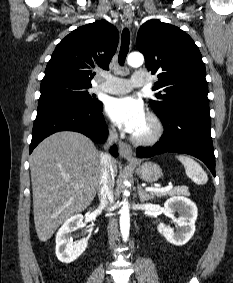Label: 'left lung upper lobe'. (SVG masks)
Segmentation results:
<instances>
[{
	"mask_svg": "<svg viewBox=\"0 0 233 283\" xmlns=\"http://www.w3.org/2000/svg\"><path fill=\"white\" fill-rule=\"evenodd\" d=\"M137 48L144 54L146 67L158 73L149 101L159 116L191 104L209 106L206 70L201 53L192 38L180 28L159 20H148L138 30Z\"/></svg>",
	"mask_w": 233,
	"mask_h": 283,
	"instance_id": "5c2ea615",
	"label": "left lung upper lobe"
}]
</instances>
